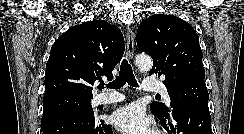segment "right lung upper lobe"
Here are the masks:
<instances>
[{
  "mask_svg": "<svg viewBox=\"0 0 244 134\" xmlns=\"http://www.w3.org/2000/svg\"><path fill=\"white\" fill-rule=\"evenodd\" d=\"M124 48L120 29L105 20L70 28L51 48L43 101L65 96L91 100V85L104 75L113 78Z\"/></svg>",
  "mask_w": 244,
  "mask_h": 134,
  "instance_id": "obj_1",
  "label": "right lung upper lobe"
}]
</instances>
